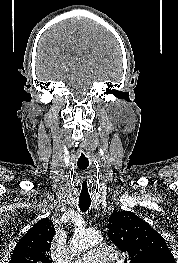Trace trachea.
<instances>
[{
	"label": "trachea",
	"instance_id": "1",
	"mask_svg": "<svg viewBox=\"0 0 178 263\" xmlns=\"http://www.w3.org/2000/svg\"><path fill=\"white\" fill-rule=\"evenodd\" d=\"M81 169L82 171L85 170V168L82 167ZM79 192V208L82 212H86L91 205V197L86 179L82 180V182L80 183Z\"/></svg>",
	"mask_w": 178,
	"mask_h": 263
}]
</instances>
